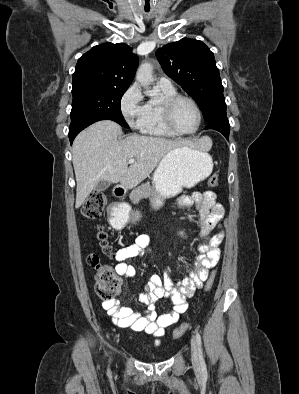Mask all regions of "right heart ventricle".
<instances>
[{"mask_svg":"<svg viewBox=\"0 0 299 394\" xmlns=\"http://www.w3.org/2000/svg\"><path fill=\"white\" fill-rule=\"evenodd\" d=\"M159 96L150 99L145 104V113L141 123V131L144 134L157 137H175L176 135L169 131L164 125L161 104L164 100L177 95V91L173 86H163L157 83Z\"/></svg>","mask_w":299,"mask_h":394,"instance_id":"1","label":"right heart ventricle"}]
</instances>
